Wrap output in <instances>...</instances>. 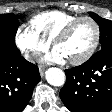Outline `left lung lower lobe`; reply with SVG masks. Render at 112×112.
Instances as JSON below:
<instances>
[{"label":"left lung lower lobe","instance_id":"0a47b994","mask_svg":"<svg viewBox=\"0 0 112 112\" xmlns=\"http://www.w3.org/2000/svg\"><path fill=\"white\" fill-rule=\"evenodd\" d=\"M60 98L71 112L112 109V47L101 49L80 66L65 70Z\"/></svg>","mask_w":112,"mask_h":112}]
</instances>
